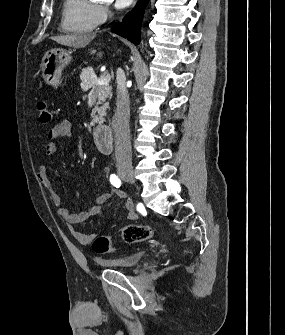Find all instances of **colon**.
I'll use <instances>...</instances> for the list:
<instances>
[{
    "label": "colon",
    "instance_id": "5ec220e1",
    "mask_svg": "<svg viewBox=\"0 0 285 335\" xmlns=\"http://www.w3.org/2000/svg\"><path fill=\"white\" fill-rule=\"evenodd\" d=\"M36 113L39 121L47 124L51 121V111L46 101L40 100L36 104ZM153 229L148 225L130 224L119 230L118 235L126 243H139L152 238ZM92 250L96 253L115 251L110 235L99 234L91 242Z\"/></svg>",
    "mask_w": 285,
    "mask_h": 335
}]
</instances>
